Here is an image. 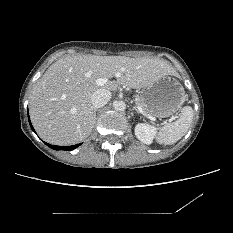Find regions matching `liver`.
I'll return each mask as SVG.
<instances>
[{
  "instance_id": "liver-1",
  "label": "liver",
  "mask_w": 233,
  "mask_h": 233,
  "mask_svg": "<svg viewBox=\"0 0 233 233\" xmlns=\"http://www.w3.org/2000/svg\"><path fill=\"white\" fill-rule=\"evenodd\" d=\"M177 75L166 61L125 56H67L53 63L33 87L29 102L32 124L39 136L55 145H73L86 139L95 124L91 97L99 89L114 91L151 86ZM107 81L98 86V78Z\"/></svg>"
}]
</instances>
